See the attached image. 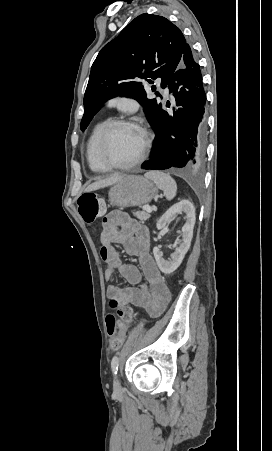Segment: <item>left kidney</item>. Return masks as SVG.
I'll return each instance as SVG.
<instances>
[{"label": "left kidney", "instance_id": "1", "mask_svg": "<svg viewBox=\"0 0 272 451\" xmlns=\"http://www.w3.org/2000/svg\"><path fill=\"white\" fill-rule=\"evenodd\" d=\"M182 212L186 214V224H184L181 229L183 239L179 247H175V251L171 253V257H168V259H163V253H161L159 247H157V245L153 247V253L157 261V265L163 273H172V271H175V269L179 267L180 263H182V259L191 245L196 220L195 208L189 200H181L178 204L171 206V208L163 214L162 218H160L156 224L157 229H162V227H165L166 224H169L172 216H175V214H182Z\"/></svg>", "mask_w": 272, "mask_h": 451}]
</instances>
